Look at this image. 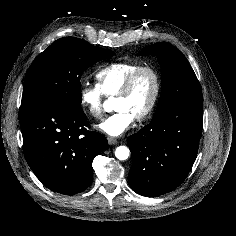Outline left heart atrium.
<instances>
[{
	"instance_id": "left-heart-atrium-1",
	"label": "left heart atrium",
	"mask_w": 236,
	"mask_h": 236,
	"mask_svg": "<svg viewBox=\"0 0 236 236\" xmlns=\"http://www.w3.org/2000/svg\"><path fill=\"white\" fill-rule=\"evenodd\" d=\"M134 119L128 111L121 109L107 117L97 127L110 136H120L131 127Z\"/></svg>"
}]
</instances>
